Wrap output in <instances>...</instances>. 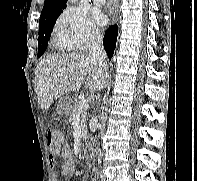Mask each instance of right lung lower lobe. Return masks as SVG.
<instances>
[{
	"mask_svg": "<svg viewBox=\"0 0 197 181\" xmlns=\"http://www.w3.org/2000/svg\"><path fill=\"white\" fill-rule=\"evenodd\" d=\"M117 33V25H112L107 29L104 35L103 44L109 58L113 56L116 47Z\"/></svg>",
	"mask_w": 197,
	"mask_h": 181,
	"instance_id": "1",
	"label": "right lung lower lobe"
}]
</instances>
